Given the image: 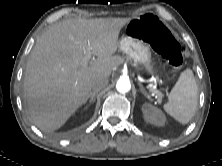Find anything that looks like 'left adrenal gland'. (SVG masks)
<instances>
[{
  "mask_svg": "<svg viewBox=\"0 0 222 166\" xmlns=\"http://www.w3.org/2000/svg\"><path fill=\"white\" fill-rule=\"evenodd\" d=\"M139 86H140V90H141V92H142L146 97L149 98V95H148L147 92L144 90L143 85H142L141 83H139Z\"/></svg>",
  "mask_w": 222,
  "mask_h": 166,
  "instance_id": "obj_1",
  "label": "left adrenal gland"
}]
</instances>
